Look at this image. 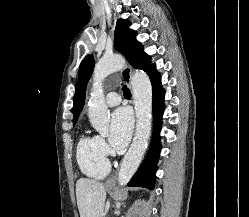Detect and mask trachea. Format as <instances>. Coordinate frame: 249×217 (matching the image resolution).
Masks as SVG:
<instances>
[{"instance_id":"1","label":"trachea","mask_w":249,"mask_h":217,"mask_svg":"<svg viewBox=\"0 0 249 217\" xmlns=\"http://www.w3.org/2000/svg\"><path fill=\"white\" fill-rule=\"evenodd\" d=\"M123 95L124 97H131V92L130 90L126 87V86H123Z\"/></svg>"}]
</instances>
